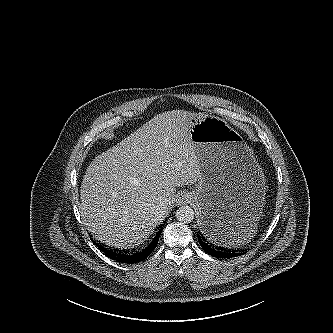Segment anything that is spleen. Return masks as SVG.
Masks as SVG:
<instances>
[{
    "label": "spleen",
    "instance_id": "obj_1",
    "mask_svg": "<svg viewBox=\"0 0 333 333\" xmlns=\"http://www.w3.org/2000/svg\"><path fill=\"white\" fill-rule=\"evenodd\" d=\"M254 228L247 229H232L225 235L228 245L233 246L235 244L246 242L251 238Z\"/></svg>",
    "mask_w": 333,
    "mask_h": 333
}]
</instances>
